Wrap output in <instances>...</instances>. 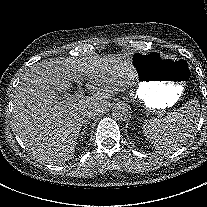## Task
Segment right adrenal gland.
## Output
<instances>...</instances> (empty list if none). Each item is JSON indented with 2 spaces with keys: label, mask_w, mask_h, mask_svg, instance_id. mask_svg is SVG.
Returning <instances> with one entry per match:
<instances>
[{
  "label": "right adrenal gland",
  "mask_w": 207,
  "mask_h": 207,
  "mask_svg": "<svg viewBox=\"0 0 207 207\" xmlns=\"http://www.w3.org/2000/svg\"><path fill=\"white\" fill-rule=\"evenodd\" d=\"M90 124V121L87 119V120H83V123H82V125H83V129H82V131L80 132V141H81V139H82V136L83 135H86L87 134V129H88V125Z\"/></svg>",
  "instance_id": "right-adrenal-gland-1"
}]
</instances>
